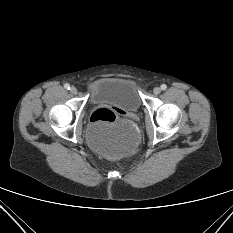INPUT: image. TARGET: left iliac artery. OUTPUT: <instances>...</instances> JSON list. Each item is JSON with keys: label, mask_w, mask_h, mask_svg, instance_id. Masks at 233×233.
<instances>
[{"label": "left iliac artery", "mask_w": 233, "mask_h": 233, "mask_svg": "<svg viewBox=\"0 0 233 233\" xmlns=\"http://www.w3.org/2000/svg\"><path fill=\"white\" fill-rule=\"evenodd\" d=\"M160 87H161L162 90H166L167 89L166 84H162Z\"/></svg>", "instance_id": "left-iliac-artery-1"}]
</instances>
